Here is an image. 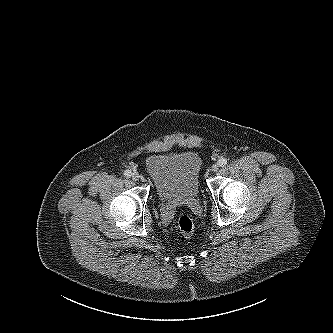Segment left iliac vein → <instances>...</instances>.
<instances>
[{
  "instance_id": "4c4485c4",
  "label": "left iliac vein",
  "mask_w": 333,
  "mask_h": 333,
  "mask_svg": "<svg viewBox=\"0 0 333 333\" xmlns=\"http://www.w3.org/2000/svg\"><path fill=\"white\" fill-rule=\"evenodd\" d=\"M218 169H219V164H218V163H215V164L211 167V170H212L213 172H216Z\"/></svg>"
}]
</instances>
